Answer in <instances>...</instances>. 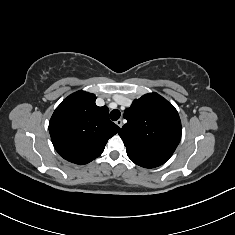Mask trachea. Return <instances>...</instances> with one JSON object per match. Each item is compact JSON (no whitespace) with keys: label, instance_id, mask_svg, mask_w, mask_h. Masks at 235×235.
Instances as JSON below:
<instances>
[{"label":"trachea","instance_id":"1","mask_svg":"<svg viewBox=\"0 0 235 235\" xmlns=\"http://www.w3.org/2000/svg\"><path fill=\"white\" fill-rule=\"evenodd\" d=\"M120 111L117 110V109H114L110 112V118L113 120V121H116L120 118Z\"/></svg>","mask_w":235,"mask_h":235}]
</instances>
